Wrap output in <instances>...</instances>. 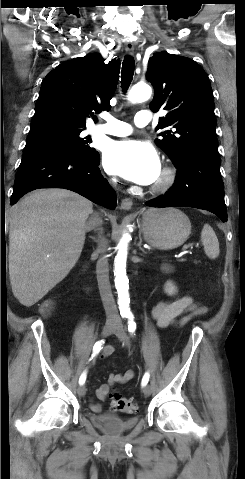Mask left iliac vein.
<instances>
[{"label": "left iliac vein", "instance_id": "4c4485c4", "mask_svg": "<svg viewBox=\"0 0 245 479\" xmlns=\"http://www.w3.org/2000/svg\"><path fill=\"white\" fill-rule=\"evenodd\" d=\"M113 332L119 338V340L123 342L126 346L130 345L129 338L127 336V333L125 331V328L122 322H117L116 328L114 329ZM143 393L145 396H149L151 394V386L145 385L143 388Z\"/></svg>", "mask_w": 245, "mask_h": 479}]
</instances>
